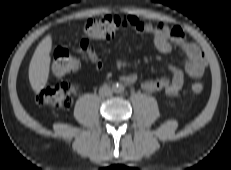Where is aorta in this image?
<instances>
[{
  "label": "aorta",
  "mask_w": 231,
  "mask_h": 170,
  "mask_svg": "<svg viewBox=\"0 0 231 170\" xmlns=\"http://www.w3.org/2000/svg\"><path fill=\"white\" fill-rule=\"evenodd\" d=\"M114 91H115L116 93H121V92L124 91V87H123L122 85H120V84H117V85L114 87Z\"/></svg>",
  "instance_id": "aorta-1"
}]
</instances>
